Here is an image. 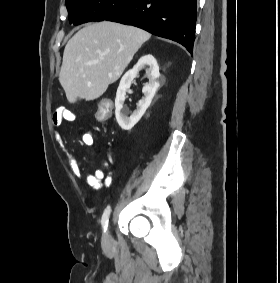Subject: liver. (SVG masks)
Here are the masks:
<instances>
[{
  "label": "liver",
  "mask_w": 280,
  "mask_h": 283,
  "mask_svg": "<svg viewBox=\"0 0 280 283\" xmlns=\"http://www.w3.org/2000/svg\"><path fill=\"white\" fill-rule=\"evenodd\" d=\"M150 37L140 28L108 21L80 29L65 46L59 73L68 101L102 96Z\"/></svg>",
  "instance_id": "1"
}]
</instances>
